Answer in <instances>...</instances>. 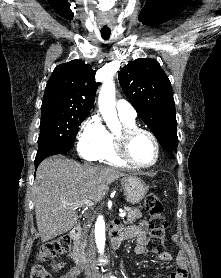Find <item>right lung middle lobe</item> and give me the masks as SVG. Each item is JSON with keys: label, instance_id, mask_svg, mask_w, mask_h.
Returning a JSON list of instances; mask_svg holds the SVG:
<instances>
[{"label": "right lung middle lobe", "instance_id": "1", "mask_svg": "<svg viewBox=\"0 0 221 278\" xmlns=\"http://www.w3.org/2000/svg\"><path fill=\"white\" fill-rule=\"evenodd\" d=\"M87 116L68 115L58 111L41 112L37 154L62 145H73L79 126Z\"/></svg>", "mask_w": 221, "mask_h": 278}]
</instances>
